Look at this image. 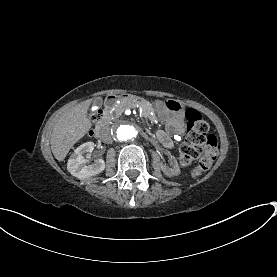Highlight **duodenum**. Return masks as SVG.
Instances as JSON below:
<instances>
[{
    "instance_id": "1",
    "label": "duodenum",
    "mask_w": 277,
    "mask_h": 277,
    "mask_svg": "<svg viewBox=\"0 0 277 277\" xmlns=\"http://www.w3.org/2000/svg\"><path fill=\"white\" fill-rule=\"evenodd\" d=\"M126 99H128V96L125 94H114L106 98L101 119L98 121V123L95 126L96 137H99L104 131L107 118L111 110L113 109V107L117 104L118 101H122Z\"/></svg>"
}]
</instances>
